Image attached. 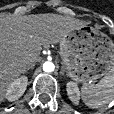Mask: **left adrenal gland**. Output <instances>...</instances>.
I'll return each mask as SVG.
<instances>
[{"label": "left adrenal gland", "instance_id": "left-adrenal-gland-1", "mask_svg": "<svg viewBox=\"0 0 114 114\" xmlns=\"http://www.w3.org/2000/svg\"><path fill=\"white\" fill-rule=\"evenodd\" d=\"M60 74L61 75H64L65 74V67H64V65H62V67H61Z\"/></svg>", "mask_w": 114, "mask_h": 114}]
</instances>
